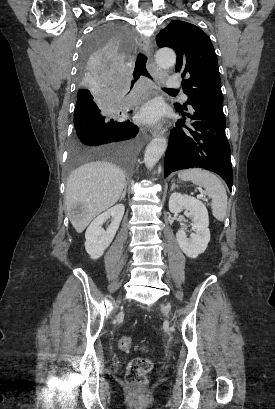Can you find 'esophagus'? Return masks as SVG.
Here are the masks:
<instances>
[{"mask_svg":"<svg viewBox=\"0 0 275 409\" xmlns=\"http://www.w3.org/2000/svg\"><path fill=\"white\" fill-rule=\"evenodd\" d=\"M150 49H151V39L149 37H144L142 36L139 39V50L142 52V54H150ZM165 128L159 124L155 128L151 130V134L153 137H158L160 135L164 136L165 135Z\"/></svg>","mask_w":275,"mask_h":409,"instance_id":"1","label":"esophagus"}]
</instances>
